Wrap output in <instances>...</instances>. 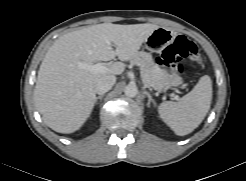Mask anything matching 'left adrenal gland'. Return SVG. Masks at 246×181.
Segmentation results:
<instances>
[{
	"instance_id": "1",
	"label": "left adrenal gland",
	"mask_w": 246,
	"mask_h": 181,
	"mask_svg": "<svg viewBox=\"0 0 246 181\" xmlns=\"http://www.w3.org/2000/svg\"><path fill=\"white\" fill-rule=\"evenodd\" d=\"M143 93L148 97V102H147L148 107H150L151 103H153V105H156V102L154 101V99L152 98V96L150 95L148 91L144 89Z\"/></svg>"
}]
</instances>
